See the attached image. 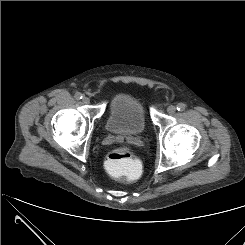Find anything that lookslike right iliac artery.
Listing matches in <instances>:
<instances>
[{"label": "right iliac artery", "mask_w": 245, "mask_h": 245, "mask_svg": "<svg viewBox=\"0 0 245 245\" xmlns=\"http://www.w3.org/2000/svg\"><path fill=\"white\" fill-rule=\"evenodd\" d=\"M75 98H76L77 100H80V99L83 98V95H82L80 92H77V93L75 94Z\"/></svg>", "instance_id": "1"}]
</instances>
